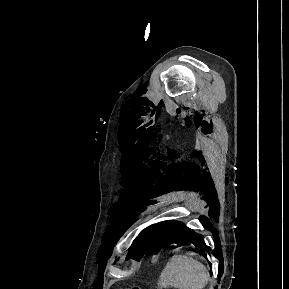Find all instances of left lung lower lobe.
I'll return each mask as SVG.
<instances>
[{"label": "left lung lower lobe", "mask_w": 289, "mask_h": 289, "mask_svg": "<svg viewBox=\"0 0 289 289\" xmlns=\"http://www.w3.org/2000/svg\"><path fill=\"white\" fill-rule=\"evenodd\" d=\"M165 234L166 235L164 238L166 240V244L169 243L183 244L185 242H190L195 246L207 250L202 237L193 230H191L190 228H187L181 222L176 221L167 222Z\"/></svg>", "instance_id": "obj_1"}]
</instances>
